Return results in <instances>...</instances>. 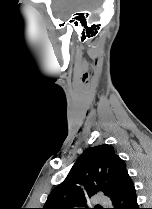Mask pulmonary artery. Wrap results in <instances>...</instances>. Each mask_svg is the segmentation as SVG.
<instances>
[{"mask_svg": "<svg viewBox=\"0 0 152 209\" xmlns=\"http://www.w3.org/2000/svg\"><path fill=\"white\" fill-rule=\"evenodd\" d=\"M94 202L96 203V204H99V205H106V204H109V200L108 199H106V198H104V197H101V196H96L95 198H94Z\"/></svg>", "mask_w": 152, "mask_h": 209, "instance_id": "1", "label": "pulmonary artery"}]
</instances>
